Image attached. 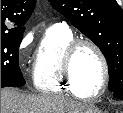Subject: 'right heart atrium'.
<instances>
[{"label":"right heart atrium","mask_w":123,"mask_h":113,"mask_svg":"<svg viewBox=\"0 0 123 113\" xmlns=\"http://www.w3.org/2000/svg\"><path fill=\"white\" fill-rule=\"evenodd\" d=\"M29 45V39L25 38L24 40L21 41L20 45H19V57H22L23 53L25 52L26 48Z\"/></svg>","instance_id":"obj_1"}]
</instances>
